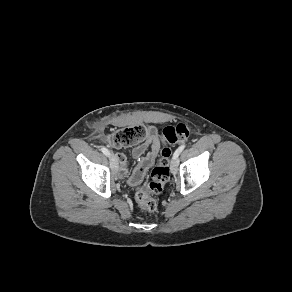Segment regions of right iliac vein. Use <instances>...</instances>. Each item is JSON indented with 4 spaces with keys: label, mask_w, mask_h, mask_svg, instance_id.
<instances>
[{
    "label": "right iliac vein",
    "mask_w": 292,
    "mask_h": 292,
    "mask_svg": "<svg viewBox=\"0 0 292 292\" xmlns=\"http://www.w3.org/2000/svg\"><path fill=\"white\" fill-rule=\"evenodd\" d=\"M110 164H111V167H112V170L114 172H117L118 171V162H117V159L114 155H110Z\"/></svg>",
    "instance_id": "1"
}]
</instances>
